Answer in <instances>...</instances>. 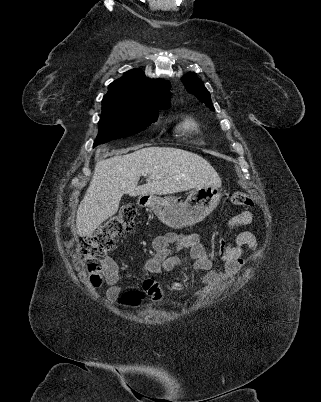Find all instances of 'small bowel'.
I'll return each instance as SVG.
<instances>
[{
    "mask_svg": "<svg viewBox=\"0 0 321 402\" xmlns=\"http://www.w3.org/2000/svg\"><path fill=\"white\" fill-rule=\"evenodd\" d=\"M254 222V214L250 210H242L228 220L229 228L248 226ZM174 245V250L171 248ZM244 247L255 251L258 242L250 231L240 232L230 242H220L219 256L222 260L220 268H213L211 255L201 243L197 234L190 233L179 235L167 233L158 236L153 241L154 254L144 263V271L147 274H159L165 271H172L180 266L181 261L174 251L187 250L192 259V268L196 272L206 273L201 278L204 286H213L225 277L236 275L243 266L242 251ZM120 272L118 266L111 260H106V282L108 289L106 295L114 299L121 292L119 285ZM145 290L152 296L153 300L159 302L163 298V290L154 282L147 280L144 283Z\"/></svg>",
    "mask_w": 321,
    "mask_h": 402,
    "instance_id": "small-bowel-1",
    "label": "small bowel"
}]
</instances>
